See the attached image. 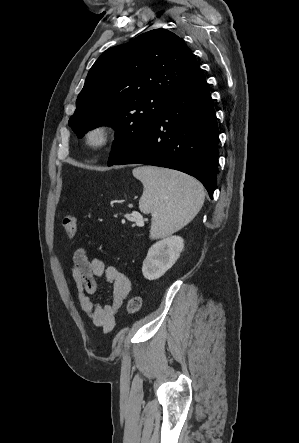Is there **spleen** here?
<instances>
[{
  "instance_id": "spleen-1",
  "label": "spleen",
  "mask_w": 299,
  "mask_h": 443,
  "mask_svg": "<svg viewBox=\"0 0 299 443\" xmlns=\"http://www.w3.org/2000/svg\"><path fill=\"white\" fill-rule=\"evenodd\" d=\"M143 186L139 209L152 213L150 237L170 235L187 225L204 203L203 186L183 173L151 166L133 170Z\"/></svg>"
}]
</instances>
